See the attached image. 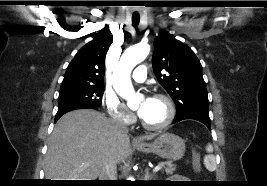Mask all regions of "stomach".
I'll use <instances>...</instances> for the list:
<instances>
[{
    "instance_id": "1",
    "label": "stomach",
    "mask_w": 267,
    "mask_h": 186,
    "mask_svg": "<svg viewBox=\"0 0 267 186\" xmlns=\"http://www.w3.org/2000/svg\"><path fill=\"white\" fill-rule=\"evenodd\" d=\"M136 147L143 153H154L168 160H179L185 152L184 140L172 133H162L153 142L139 143Z\"/></svg>"
}]
</instances>
